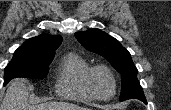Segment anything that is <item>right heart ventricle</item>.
<instances>
[{
	"label": "right heart ventricle",
	"mask_w": 171,
	"mask_h": 110,
	"mask_svg": "<svg viewBox=\"0 0 171 110\" xmlns=\"http://www.w3.org/2000/svg\"><path fill=\"white\" fill-rule=\"evenodd\" d=\"M89 63L76 53L66 54L59 65L55 92L59 97L78 102H90L94 98L85 86V74Z\"/></svg>",
	"instance_id": "1"
}]
</instances>
